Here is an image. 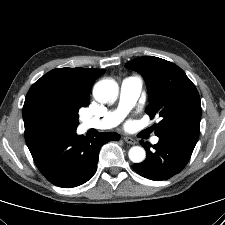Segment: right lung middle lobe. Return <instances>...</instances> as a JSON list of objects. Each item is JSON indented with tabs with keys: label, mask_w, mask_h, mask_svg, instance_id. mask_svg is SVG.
Wrapping results in <instances>:
<instances>
[{
	"label": "right lung middle lobe",
	"mask_w": 225,
	"mask_h": 225,
	"mask_svg": "<svg viewBox=\"0 0 225 225\" xmlns=\"http://www.w3.org/2000/svg\"><path fill=\"white\" fill-rule=\"evenodd\" d=\"M88 99L44 97L34 109L37 121L46 129L75 131L79 124V109L88 105Z\"/></svg>",
	"instance_id": "dd1d6c3e"
}]
</instances>
